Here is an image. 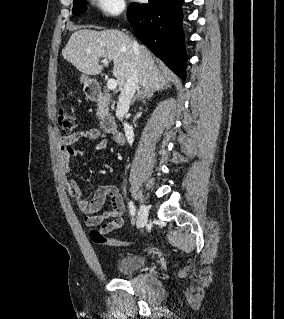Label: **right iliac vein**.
I'll list each match as a JSON object with an SVG mask.
<instances>
[{
	"mask_svg": "<svg viewBox=\"0 0 284 319\" xmlns=\"http://www.w3.org/2000/svg\"><path fill=\"white\" fill-rule=\"evenodd\" d=\"M148 208L145 204H142L137 214V228H142L147 223Z\"/></svg>",
	"mask_w": 284,
	"mask_h": 319,
	"instance_id": "1",
	"label": "right iliac vein"
}]
</instances>
